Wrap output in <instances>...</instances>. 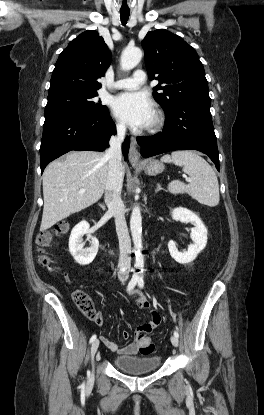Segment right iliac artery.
Masks as SVG:
<instances>
[{
	"instance_id": "82829eb1",
	"label": "right iliac artery",
	"mask_w": 264,
	"mask_h": 415,
	"mask_svg": "<svg viewBox=\"0 0 264 415\" xmlns=\"http://www.w3.org/2000/svg\"><path fill=\"white\" fill-rule=\"evenodd\" d=\"M132 271H135V268H132ZM137 284V276L133 275V277L131 278L128 286H127V291H131ZM97 338L96 334L92 335V337L90 338V343H92L93 341H95Z\"/></svg>"
}]
</instances>
